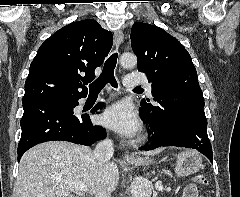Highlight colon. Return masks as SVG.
I'll use <instances>...</instances> for the list:
<instances>
[{
  "label": "colon",
  "mask_w": 240,
  "mask_h": 197,
  "mask_svg": "<svg viewBox=\"0 0 240 197\" xmlns=\"http://www.w3.org/2000/svg\"><path fill=\"white\" fill-rule=\"evenodd\" d=\"M193 181L197 184H202V185H205L207 184V179L204 175L202 174H196L194 177H193Z\"/></svg>",
  "instance_id": "5ec220e1"
}]
</instances>
